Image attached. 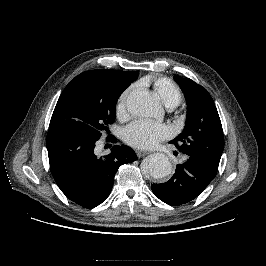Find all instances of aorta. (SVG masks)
Segmentation results:
<instances>
[{"label": "aorta", "instance_id": "762f6f07", "mask_svg": "<svg viewBox=\"0 0 266 266\" xmlns=\"http://www.w3.org/2000/svg\"><path fill=\"white\" fill-rule=\"evenodd\" d=\"M127 110L137 117H155L161 113L159 97L147 90L131 92L126 102ZM145 173L155 179H161L171 174L172 164L169 158L162 153H153L148 156L142 166Z\"/></svg>", "mask_w": 266, "mask_h": 266}]
</instances>
